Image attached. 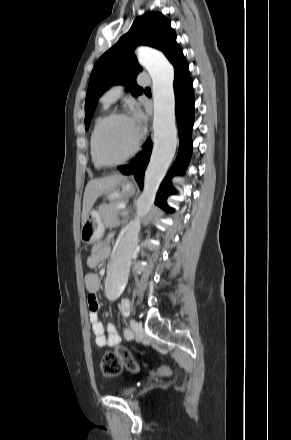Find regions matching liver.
<instances>
[{"mask_svg": "<svg viewBox=\"0 0 291 440\" xmlns=\"http://www.w3.org/2000/svg\"><path fill=\"white\" fill-rule=\"evenodd\" d=\"M124 179L123 175L115 174L88 182L83 197L82 225L85 223L97 198L113 191Z\"/></svg>", "mask_w": 291, "mask_h": 440, "instance_id": "obj_1", "label": "liver"}]
</instances>
